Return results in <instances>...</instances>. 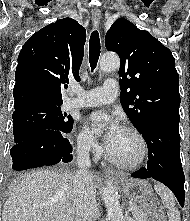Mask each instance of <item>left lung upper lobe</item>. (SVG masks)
Masks as SVG:
<instances>
[{
	"label": "left lung upper lobe",
	"instance_id": "left-lung-upper-lobe-1",
	"mask_svg": "<svg viewBox=\"0 0 190 221\" xmlns=\"http://www.w3.org/2000/svg\"><path fill=\"white\" fill-rule=\"evenodd\" d=\"M105 46L120 56V101L139 132L155 120L179 122V75L171 51L124 18L112 24Z\"/></svg>",
	"mask_w": 190,
	"mask_h": 221
}]
</instances>
